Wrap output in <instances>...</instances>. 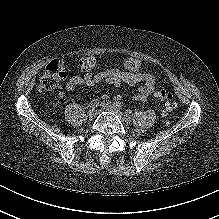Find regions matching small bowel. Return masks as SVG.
I'll return each instance as SVG.
<instances>
[{
  "mask_svg": "<svg viewBox=\"0 0 219 219\" xmlns=\"http://www.w3.org/2000/svg\"><path fill=\"white\" fill-rule=\"evenodd\" d=\"M83 60L79 62V73L72 76L66 83V91H72L77 86H95L97 83L104 81L109 85L119 86L121 83H126L134 86L141 83L137 93L134 95L136 101H146L155 91L156 80L155 77L149 73L140 71L141 62L134 58H129L124 61V70L111 69L92 73L91 68L83 66ZM65 93L59 92L58 99H62ZM103 101H107L104 97Z\"/></svg>",
  "mask_w": 219,
  "mask_h": 219,
  "instance_id": "obj_1",
  "label": "small bowel"
}]
</instances>
